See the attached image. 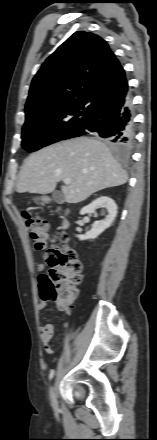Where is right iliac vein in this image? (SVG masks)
Here are the masks:
<instances>
[{
  "instance_id": "right-iliac-vein-1",
  "label": "right iliac vein",
  "mask_w": 157,
  "mask_h": 440,
  "mask_svg": "<svg viewBox=\"0 0 157 440\" xmlns=\"http://www.w3.org/2000/svg\"><path fill=\"white\" fill-rule=\"evenodd\" d=\"M51 403L53 408H57L58 407V403H57V399H56V393H55V389L52 388L51 390Z\"/></svg>"
}]
</instances>
